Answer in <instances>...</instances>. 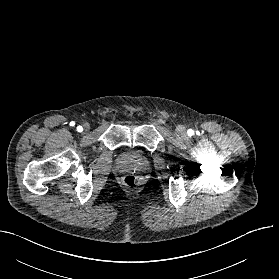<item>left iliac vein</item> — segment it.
Instances as JSON below:
<instances>
[{
	"instance_id": "left-iliac-vein-1",
	"label": "left iliac vein",
	"mask_w": 279,
	"mask_h": 279,
	"mask_svg": "<svg viewBox=\"0 0 279 279\" xmlns=\"http://www.w3.org/2000/svg\"><path fill=\"white\" fill-rule=\"evenodd\" d=\"M176 135H177L179 138L185 139V138L187 137V132H186L185 127L179 125V126L176 128Z\"/></svg>"
}]
</instances>
